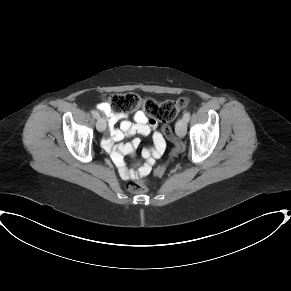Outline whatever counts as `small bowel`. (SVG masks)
<instances>
[{
  "mask_svg": "<svg viewBox=\"0 0 291 291\" xmlns=\"http://www.w3.org/2000/svg\"><path fill=\"white\" fill-rule=\"evenodd\" d=\"M97 107L108 118L110 138L103 141V147L110 153L118 167L120 176L124 180H134L149 174L155 161L162 156L166 148L165 139L158 130L159 123L155 119L148 117L143 110H137L134 113V123H131L127 120L128 114L125 111H115L108 102L100 103ZM117 123H119V126H117ZM151 133H153L154 147L142 151L141 156L144 159V163H138L134 168L126 167L124 156L132 155L139 146L140 140L135 138L129 143L118 146L114 145V143L135 134L146 136ZM184 152L183 145L178 144L174 159L180 157Z\"/></svg>",
  "mask_w": 291,
  "mask_h": 291,
  "instance_id": "small-bowel-1",
  "label": "small bowel"
}]
</instances>
